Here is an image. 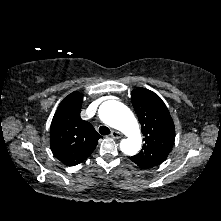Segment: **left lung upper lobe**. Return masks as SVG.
<instances>
[{
    "mask_svg": "<svg viewBox=\"0 0 221 221\" xmlns=\"http://www.w3.org/2000/svg\"><path fill=\"white\" fill-rule=\"evenodd\" d=\"M131 101L140 121L145 143L143 149L130 159L150 167L157 166L167 158L173 147V120L161 98L148 89L133 90Z\"/></svg>",
    "mask_w": 221,
    "mask_h": 221,
    "instance_id": "obj_1",
    "label": "left lung upper lobe"
}]
</instances>
